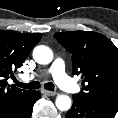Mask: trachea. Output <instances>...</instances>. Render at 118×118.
<instances>
[{
  "instance_id": "obj_1",
  "label": "trachea",
  "mask_w": 118,
  "mask_h": 118,
  "mask_svg": "<svg viewBox=\"0 0 118 118\" xmlns=\"http://www.w3.org/2000/svg\"><path fill=\"white\" fill-rule=\"evenodd\" d=\"M16 83V86L24 88V89H39L40 83L38 81H32L30 83H21L17 80L14 81ZM44 88L49 91H54V84L51 82L45 83Z\"/></svg>"
}]
</instances>
